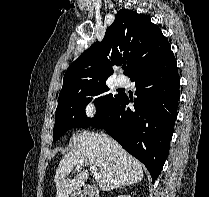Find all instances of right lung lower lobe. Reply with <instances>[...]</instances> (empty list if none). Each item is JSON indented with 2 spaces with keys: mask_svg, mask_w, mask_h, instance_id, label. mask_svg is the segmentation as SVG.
<instances>
[{
  "mask_svg": "<svg viewBox=\"0 0 209 197\" xmlns=\"http://www.w3.org/2000/svg\"><path fill=\"white\" fill-rule=\"evenodd\" d=\"M136 84L134 108L126 94L88 126L104 129L149 170L155 182L169 152L177 118L180 78L172 51L131 78Z\"/></svg>",
  "mask_w": 209,
  "mask_h": 197,
  "instance_id": "obj_1",
  "label": "right lung lower lobe"
}]
</instances>
